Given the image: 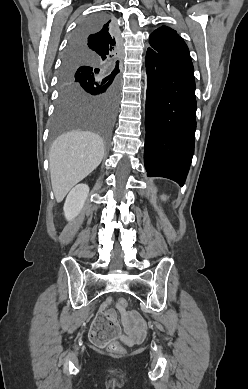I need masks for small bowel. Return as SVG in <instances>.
<instances>
[{"label":"small bowel","instance_id":"obj_1","mask_svg":"<svg viewBox=\"0 0 248 389\" xmlns=\"http://www.w3.org/2000/svg\"><path fill=\"white\" fill-rule=\"evenodd\" d=\"M113 303V298L111 296L101 305L102 311H106L108 306ZM118 309L121 313L122 324L125 331V336H121L123 340L128 343L138 342L142 339L145 334V324L141 316L137 312H125L122 308L118 306ZM109 318H116V313L114 311H106Z\"/></svg>","mask_w":248,"mask_h":389}]
</instances>
